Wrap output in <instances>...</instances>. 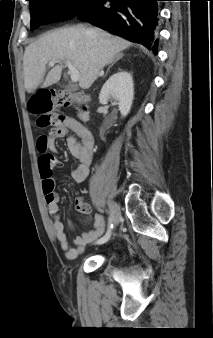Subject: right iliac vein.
Masks as SVG:
<instances>
[{
	"label": "right iliac vein",
	"mask_w": 213,
	"mask_h": 338,
	"mask_svg": "<svg viewBox=\"0 0 213 338\" xmlns=\"http://www.w3.org/2000/svg\"><path fill=\"white\" fill-rule=\"evenodd\" d=\"M109 210H110V216H111L112 223L114 225H117L119 223L120 216H121V211H120L119 206L115 202L110 201Z\"/></svg>",
	"instance_id": "obj_1"
}]
</instances>
